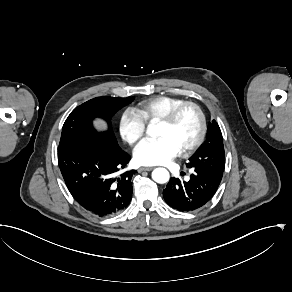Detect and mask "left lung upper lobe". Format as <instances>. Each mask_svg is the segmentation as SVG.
Masks as SVG:
<instances>
[{"mask_svg":"<svg viewBox=\"0 0 292 292\" xmlns=\"http://www.w3.org/2000/svg\"><path fill=\"white\" fill-rule=\"evenodd\" d=\"M224 145L221 130L215 120L208 125L206 141L189 158L188 168L208 175H223Z\"/></svg>","mask_w":292,"mask_h":292,"instance_id":"left-lung-upper-lobe-1","label":"left lung upper lobe"}]
</instances>
